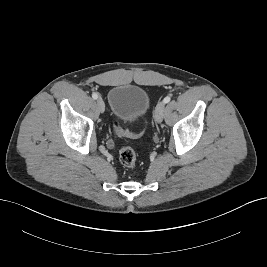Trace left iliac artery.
<instances>
[{"label":"left iliac artery","instance_id":"44dca946","mask_svg":"<svg viewBox=\"0 0 267 267\" xmlns=\"http://www.w3.org/2000/svg\"><path fill=\"white\" fill-rule=\"evenodd\" d=\"M170 100H171V98L167 96V97L164 98L163 102L164 103H168V102H170Z\"/></svg>","mask_w":267,"mask_h":267}]
</instances>
